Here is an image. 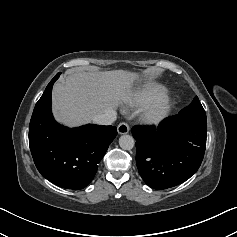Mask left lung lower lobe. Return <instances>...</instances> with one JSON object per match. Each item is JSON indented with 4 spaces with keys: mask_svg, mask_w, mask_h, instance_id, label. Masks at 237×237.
Returning a JSON list of instances; mask_svg holds the SVG:
<instances>
[{
    "mask_svg": "<svg viewBox=\"0 0 237 237\" xmlns=\"http://www.w3.org/2000/svg\"><path fill=\"white\" fill-rule=\"evenodd\" d=\"M207 122L165 119L159 127H133L136 164L144 182L166 189L189 179L200 167L206 147Z\"/></svg>",
    "mask_w": 237,
    "mask_h": 237,
    "instance_id": "0a47b994",
    "label": "left lung lower lobe"
}]
</instances>
